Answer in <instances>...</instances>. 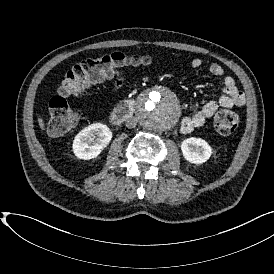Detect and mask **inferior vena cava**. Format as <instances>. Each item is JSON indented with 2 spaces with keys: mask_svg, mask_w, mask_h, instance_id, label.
Masks as SVG:
<instances>
[{
  "mask_svg": "<svg viewBox=\"0 0 274 274\" xmlns=\"http://www.w3.org/2000/svg\"><path fill=\"white\" fill-rule=\"evenodd\" d=\"M138 119L135 117L129 118L125 121L126 127L132 129L137 126Z\"/></svg>",
  "mask_w": 274,
  "mask_h": 274,
  "instance_id": "obj_1",
  "label": "inferior vena cava"
}]
</instances>
